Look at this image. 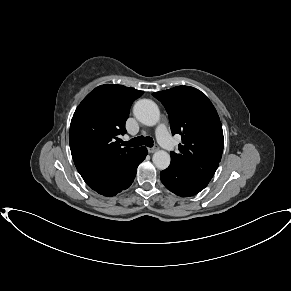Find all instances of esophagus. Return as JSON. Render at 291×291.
Instances as JSON below:
<instances>
[{"label": "esophagus", "mask_w": 291, "mask_h": 291, "mask_svg": "<svg viewBox=\"0 0 291 291\" xmlns=\"http://www.w3.org/2000/svg\"><path fill=\"white\" fill-rule=\"evenodd\" d=\"M158 150V146H154V147H152V148H148V152L149 153H154V152H156Z\"/></svg>", "instance_id": "esophagus-1"}]
</instances>
